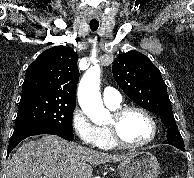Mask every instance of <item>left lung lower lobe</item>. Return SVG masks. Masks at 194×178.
Here are the masks:
<instances>
[{"mask_svg": "<svg viewBox=\"0 0 194 178\" xmlns=\"http://www.w3.org/2000/svg\"><path fill=\"white\" fill-rule=\"evenodd\" d=\"M165 144H170L176 148L185 151L183 139L178 131V129L168 128L167 140L164 141Z\"/></svg>", "mask_w": 194, "mask_h": 178, "instance_id": "1", "label": "left lung lower lobe"}]
</instances>
